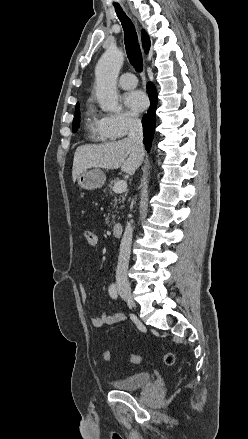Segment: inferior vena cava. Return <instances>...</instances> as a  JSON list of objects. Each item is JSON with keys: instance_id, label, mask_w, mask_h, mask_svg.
I'll return each mask as SVG.
<instances>
[{"instance_id": "602c4592", "label": "inferior vena cava", "mask_w": 248, "mask_h": 439, "mask_svg": "<svg viewBox=\"0 0 248 439\" xmlns=\"http://www.w3.org/2000/svg\"><path fill=\"white\" fill-rule=\"evenodd\" d=\"M134 144V147L144 156L143 149V130L140 119L136 117L129 118V133L128 138ZM133 228L130 223L127 224L123 238L120 244V251L118 257V264L116 270V281L118 284H123L129 287L127 270L130 259Z\"/></svg>"}]
</instances>
